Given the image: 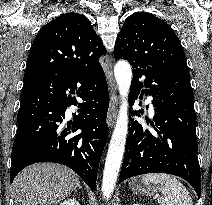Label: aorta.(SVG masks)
<instances>
[{"instance_id": "1", "label": "aorta", "mask_w": 212, "mask_h": 205, "mask_svg": "<svg viewBox=\"0 0 212 205\" xmlns=\"http://www.w3.org/2000/svg\"><path fill=\"white\" fill-rule=\"evenodd\" d=\"M114 75L120 93L121 104L103 171L102 192L106 198H109L114 190L125 150L128 133V94L132 79L130 64L126 61H118L114 67Z\"/></svg>"}]
</instances>
